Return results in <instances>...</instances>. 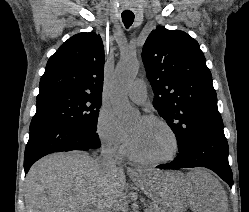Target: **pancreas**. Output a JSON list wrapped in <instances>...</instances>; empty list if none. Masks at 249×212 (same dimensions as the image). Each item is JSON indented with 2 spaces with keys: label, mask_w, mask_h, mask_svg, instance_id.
Returning <instances> with one entry per match:
<instances>
[{
  "label": "pancreas",
  "mask_w": 249,
  "mask_h": 212,
  "mask_svg": "<svg viewBox=\"0 0 249 212\" xmlns=\"http://www.w3.org/2000/svg\"><path fill=\"white\" fill-rule=\"evenodd\" d=\"M145 212H164V210H161L158 204H152V206H149Z\"/></svg>",
  "instance_id": "pancreas-1"
}]
</instances>
